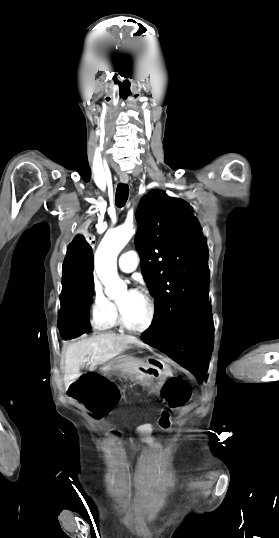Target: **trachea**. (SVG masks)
I'll return each mask as SVG.
<instances>
[{
  "label": "trachea",
  "mask_w": 279,
  "mask_h": 538,
  "mask_svg": "<svg viewBox=\"0 0 279 538\" xmlns=\"http://www.w3.org/2000/svg\"><path fill=\"white\" fill-rule=\"evenodd\" d=\"M129 195V187L125 183H119L116 189L115 203L118 208L124 207Z\"/></svg>",
  "instance_id": "3493384b"
}]
</instances>
